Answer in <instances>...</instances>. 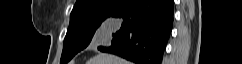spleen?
Instances as JSON below:
<instances>
[{"instance_id":"1","label":"spleen","mask_w":242,"mask_h":64,"mask_svg":"<svg viewBox=\"0 0 242 64\" xmlns=\"http://www.w3.org/2000/svg\"><path fill=\"white\" fill-rule=\"evenodd\" d=\"M87 64H132L125 59L109 54H99L90 59Z\"/></svg>"}]
</instances>
